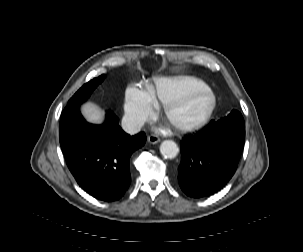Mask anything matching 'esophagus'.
Segmentation results:
<instances>
[{
    "instance_id": "obj_1",
    "label": "esophagus",
    "mask_w": 303,
    "mask_h": 252,
    "mask_svg": "<svg viewBox=\"0 0 303 252\" xmlns=\"http://www.w3.org/2000/svg\"><path fill=\"white\" fill-rule=\"evenodd\" d=\"M147 141L151 144H156L160 142V138L157 135L151 134L148 136Z\"/></svg>"
}]
</instances>
